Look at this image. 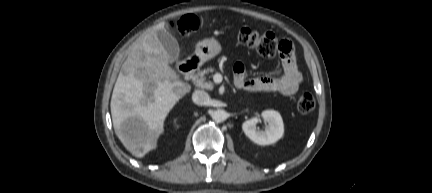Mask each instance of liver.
Here are the masks:
<instances>
[{
  "instance_id": "6515ba94",
  "label": "liver",
  "mask_w": 432,
  "mask_h": 193,
  "mask_svg": "<svg viewBox=\"0 0 432 193\" xmlns=\"http://www.w3.org/2000/svg\"><path fill=\"white\" fill-rule=\"evenodd\" d=\"M165 25L158 24L133 48L112 93L110 108L115 133L138 158L157 147L168 113L190 91V86L178 80L169 66L168 53L156 35ZM128 119L138 120L131 135L122 131Z\"/></svg>"
}]
</instances>
